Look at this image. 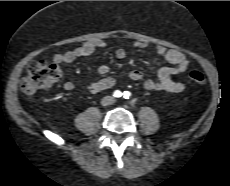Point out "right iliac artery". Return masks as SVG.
<instances>
[{"instance_id": "1", "label": "right iliac artery", "mask_w": 230, "mask_h": 186, "mask_svg": "<svg viewBox=\"0 0 230 186\" xmlns=\"http://www.w3.org/2000/svg\"><path fill=\"white\" fill-rule=\"evenodd\" d=\"M113 96L116 97V98H119V97L122 96V93H121V91L116 90V91L113 93Z\"/></svg>"}]
</instances>
